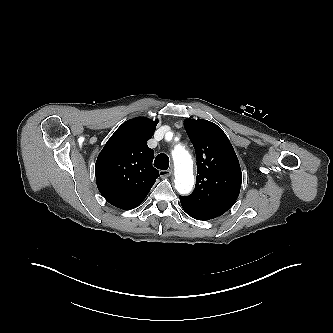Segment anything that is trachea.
I'll use <instances>...</instances> for the list:
<instances>
[{
    "mask_svg": "<svg viewBox=\"0 0 333 333\" xmlns=\"http://www.w3.org/2000/svg\"><path fill=\"white\" fill-rule=\"evenodd\" d=\"M154 166L160 170H167L169 167V157L164 153L159 154L155 158Z\"/></svg>",
    "mask_w": 333,
    "mask_h": 333,
    "instance_id": "1",
    "label": "trachea"
}]
</instances>
